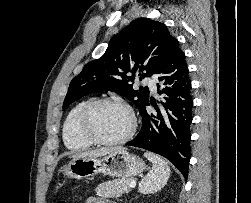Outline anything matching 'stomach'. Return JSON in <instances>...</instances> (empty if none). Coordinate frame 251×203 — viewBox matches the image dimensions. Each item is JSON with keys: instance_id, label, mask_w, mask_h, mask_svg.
Listing matches in <instances>:
<instances>
[{"instance_id": "stomach-1", "label": "stomach", "mask_w": 251, "mask_h": 203, "mask_svg": "<svg viewBox=\"0 0 251 203\" xmlns=\"http://www.w3.org/2000/svg\"><path fill=\"white\" fill-rule=\"evenodd\" d=\"M145 168L146 165L140 157L120 148L103 158L73 159L61 169V172L64 176L75 179L90 178L99 173L124 179L142 173Z\"/></svg>"}]
</instances>
